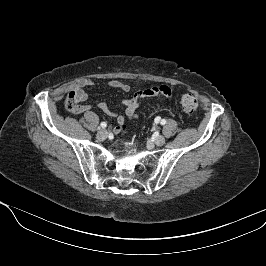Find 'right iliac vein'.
I'll return each instance as SVG.
<instances>
[{
  "label": "right iliac vein",
  "instance_id": "63e3f726",
  "mask_svg": "<svg viewBox=\"0 0 266 266\" xmlns=\"http://www.w3.org/2000/svg\"><path fill=\"white\" fill-rule=\"evenodd\" d=\"M97 138L99 140H105L107 138V131L105 129H99L97 132Z\"/></svg>",
  "mask_w": 266,
  "mask_h": 266
}]
</instances>
